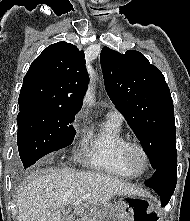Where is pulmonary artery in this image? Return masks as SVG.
<instances>
[{"mask_svg":"<svg viewBox=\"0 0 190 221\" xmlns=\"http://www.w3.org/2000/svg\"><path fill=\"white\" fill-rule=\"evenodd\" d=\"M107 117L117 119V120H122L123 118L122 114L116 109H110L107 112Z\"/></svg>","mask_w":190,"mask_h":221,"instance_id":"pulmonary-artery-1","label":"pulmonary artery"}]
</instances>
